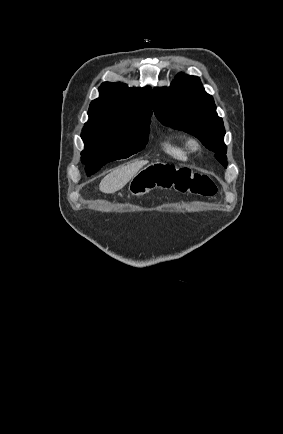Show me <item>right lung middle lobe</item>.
I'll list each match as a JSON object with an SVG mask.
<instances>
[{"mask_svg": "<svg viewBox=\"0 0 283 434\" xmlns=\"http://www.w3.org/2000/svg\"><path fill=\"white\" fill-rule=\"evenodd\" d=\"M150 122L112 128H83L85 149L82 161L88 174L98 171L110 161L127 158L141 151L149 135Z\"/></svg>", "mask_w": 283, "mask_h": 434, "instance_id": "1", "label": "right lung middle lobe"}]
</instances>
